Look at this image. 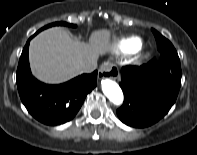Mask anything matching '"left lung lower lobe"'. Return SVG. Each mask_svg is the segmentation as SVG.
I'll list each match as a JSON object with an SVG mask.
<instances>
[{
    "instance_id": "obj_1",
    "label": "left lung lower lobe",
    "mask_w": 197,
    "mask_h": 155,
    "mask_svg": "<svg viewBox=\"0 0 197 155\" xmlns=\"http://www.w3.org/2000/svg\"><path fill=\"white\" fill-rule=\"evenodd\" d=\"M123 105L117 110L119 119L128 126L148 127L164 117L175 103L181 85L178 54L163 53L141 67L125 66L119 83Z\"/></svg>"
}]
</instances>
